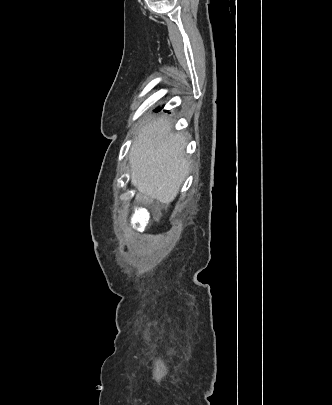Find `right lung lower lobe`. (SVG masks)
Masks as SVG:
<instances>
[{
	"label": "right lung lower lobe",
	"instance_id": "obj_1",
	"mask_svg": "<svg viewBox=\"0 0 332 405\" xmlns=\"http://www.w3.org/2000/svg\"><path fill=\"white\" fill-rule=\"evenodd\" d=\"M161 108H158L156 111H159Z\"/></svg>",
	"mask_w": 332,
	"mask_h": 405
}]
</instances>
